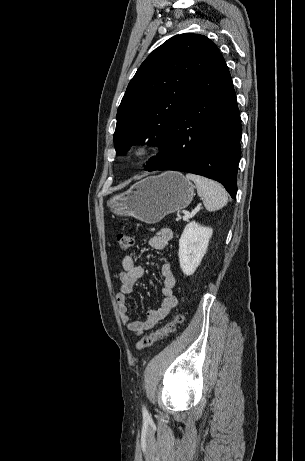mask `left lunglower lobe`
<instances>
[{
	"label": "left lung lower lobe",
	"instance_id": "0a47b994",
	"mask_svg": "<svg viewBox=\"0 0 305 461\" xmlns=\"http://www.w3.org/2000/svg\"><path fill=\"white\" fill-rule=\"evenodd\" d=\"M241 130L232 79L220 55L171 122L162 153L148 171L202 175L222 183L235 199Z\"/></svg>",
	"mask_w": 305,
	"mask_h": 461
}]
</instances>
